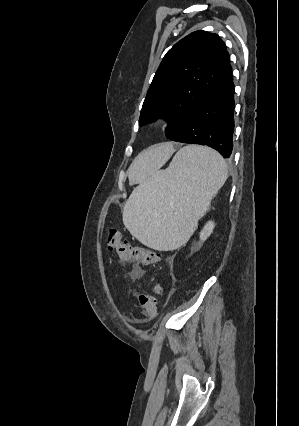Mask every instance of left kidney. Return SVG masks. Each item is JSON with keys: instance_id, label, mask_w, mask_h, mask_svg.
Segmentation results:
<instances>
[{"instance_id": "1", "label": "left kidney", "mask_w": 299, "mask_h": 426, "mask_svg": "<svg viewBox=\"0 0 299 426\" xmlns=\"http://www.w3.org/2000/svg\"><path fill=\"white\" fill-rule=\"evenodd\" d=\"M215 227V223L213 221H208L203 229L200 232V242L199 245H201L202 242H204L213 232V229Z\"/></svg>"}]
</instances>
